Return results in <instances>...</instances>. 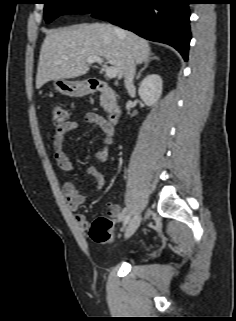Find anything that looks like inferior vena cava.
<instances>
[{
	"mask_svg": "<svg viewBox=\"0 0 236 321\" xmlns=\"http://www.w3.org/2000/svg\"><path fill=\"white\" fill-rule=\"evenodd\" d=\"M115 32L118 35L123 36V31L121 29L115 28ZM135 71H136V68H135L134 60H133L132 56L129 55L128 69H127L125 76H124V84L127 89L133 87V80H134V76H135Z\"/></svg>",
	"mask_w": 236,
	"mask_h": 321,
	"instance_id": "1",
	"label": "inferior vena cava"
}]
</instances>
